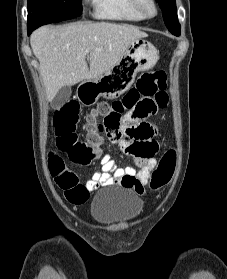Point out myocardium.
Masks as SVG:
<instances>
[{
	"instance_id": "1",
	"label": "myocardium",
	"mask_w": 227,
	"mask_h": 279,
	"mask_svg": "<svg viewBox=\"0 0 227 279\" xmlns=\"http://www.w3.org/2000/svg\"><path fill=\"white\" fill-rule=\"evenodd\" d=\"M134 1H135L136 9L142 18L151 19L157 15L158 9L155 0H134ZM147 4L151 6L152 9L151 11H148L146 9Z\"/></svg>"
}]
</instances>
